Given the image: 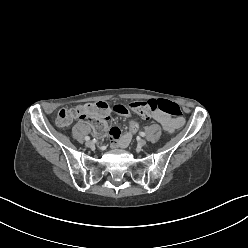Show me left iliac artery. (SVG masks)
I'll return each instance as SVG.
<instances>
[{"mask_svg":"<svg viewBox=\"0 0 248 248\" xmlns=\"http://www.w3.org/2000/svg\"><path fill=\"white\" fill-rule=\"evenodd\" d=\"M140 135H141L142 137H144V136H145V133H144V132H140Z\"/></svg>","mask_w":248,"mask_h":248,"instance_id":"left-iliac-artery-1","label":"left iliac artery"}]
</instances>
